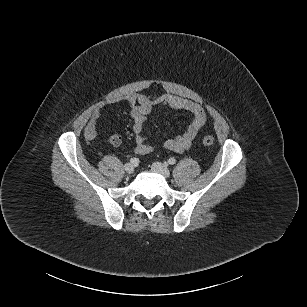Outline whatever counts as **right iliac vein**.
<instances>
[{
	"mask_svg": "<svg viewBox=\"0 0 307 307\" xmlns=\"http://www.w3.org/2000/svg\"><path fill=\"white\" fill-rule=\"evenodd\" d=\"M124 169L128 174H131L134 172V166L131 163L125 164Z\"/></svg>",
	"mask_w": 307,
	"mask_h": 307,
	"instance_id": "63e3f726",
	"label": "right iliac vein"
}]
</instances>
